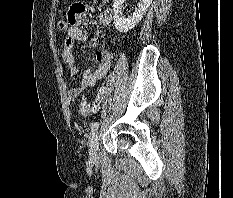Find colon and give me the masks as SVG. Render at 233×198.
<instances>
[{"label":"colon","mask_w":233,"mask_h":198,"mask_svg":"<svg viewBox=\"0 0 233 198\" xmlns=\"http://www.w3.org/2000/svg\"><path fill=\"white\" fill-rule=\"evenodd\" d=\"M57 28L59 30H65L67 28V22L64 19H60L57 22ZM99 106V100L96 99L93 103H90L86 99H82V101L79 104V112L81 115H88L90 114L94 109H96Z\"/></svg>","instance_id":"obj_1"}]
</instances>
